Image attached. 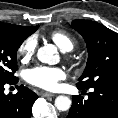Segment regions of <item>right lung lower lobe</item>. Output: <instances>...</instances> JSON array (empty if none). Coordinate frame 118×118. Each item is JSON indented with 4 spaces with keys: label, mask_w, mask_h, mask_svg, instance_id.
Returning a JSON list of instances; mask_svg holds the SVG:
<instances>
[{
    "label": "right lung lower lobe",
    "mask_w": 118,
    "mask_h": 118,
    "mask_svg": "<svg viewBox=\"0 0 118 118\" xmlns=\"http://www.w3.org/2000/svg\"><path fill=\"white\" fill-rule=\"evenodd\" d=\"M18 78L7 83H0V118H30L31 108L37 94L21 85L18 92L13 94H4L5 84H16Z\"/></svg>",
    "instance_id": "obj_1"
}]
</instances>
